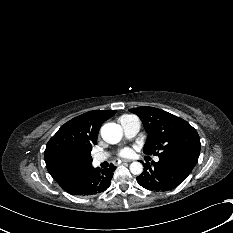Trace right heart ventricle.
Returning <instances> with one entry per match:
<instances>
[{
  "instance_id": "e07e8e85",
  "label": "right heart ventricle",
  "mask_w": 233,
  "mask_h": 233,
  "mask_svg": "<svg viewBox=\"0 0 233 233\" xmlns=\"http://www.w3.org/2000/svg\"><path fill=\"white\" fill-rule=\"evenodd\" d=\"M128 116H130V115H124V116H122L121 118H123V117H128ZM121 118H120V119H121ZM120 119H119V120H120Z\"/></svg>"
}]
</instances>
